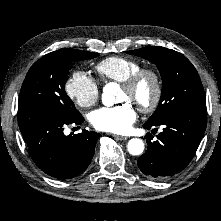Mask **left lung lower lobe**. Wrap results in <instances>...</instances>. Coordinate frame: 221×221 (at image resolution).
I'll return each mask as SVG.
<instances>
[{"mask_svg":"<svg viewBox=\"0 0 221 221\" xmlns=\"http://www.w3.org/2000/svg\"><path fill=\"white\" fill-rule=\"evenodd\" d=\"M206 106L191 107L178 111L163 121L144 128L163 125L158 140L151 142L146 136L148 149L138 159L140 170L149 177L164 179L182 171L192 160L206 128Z\"/></svg>","mask_w":221,"mask_h":221,"instance_id":"1","label":"left lung lower lobe"}]
</instances>
